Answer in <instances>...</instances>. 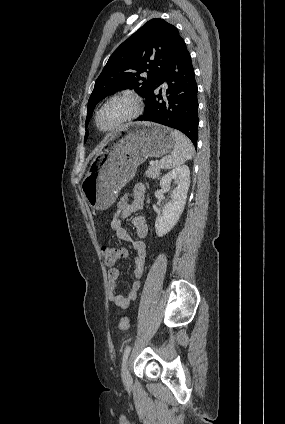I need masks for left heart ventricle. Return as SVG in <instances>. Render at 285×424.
Returning a JSON list of instances; mask_svg holds the SVG:
<instances>
[{
  "mask_svg": "<svg viewBox=\"0 0 285 424\" xmlns=\"http://www.w3.org/2000/svg\"><path fill=\"white\" fill-rule=\"evenodd\" d=\"M131 111V106L126 101H115L109 104L100 114L98 123L100 127L113 125Z\"/></svg>",
  "mask_w": 285,
  "mask_h": 424,
  "instance_id": "1",
  "label": "left heart ventricle"
}]
</instances>
